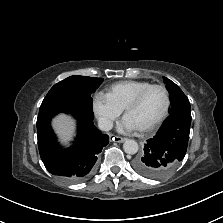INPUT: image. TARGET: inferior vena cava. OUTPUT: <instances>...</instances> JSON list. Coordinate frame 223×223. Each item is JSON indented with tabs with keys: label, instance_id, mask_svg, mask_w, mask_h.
I'll list each match as a JSON object with an SVG mask.
<instances>
[{
	"label": "inferior vena cava",
	"instance_id": "602c4592",
	"mask_svg": "<svg viewBox=\"0 0 223 223\" xmlns=\"http://www.w3.org/2000/svg\"><path fill=\"white\" fill-rule=\"evenodd\" d=\"M98 127L102 131H109L112 129L113 123L106 118H100L98 120Z\"/></svg>",
	"mask_w": 223,
	"mask_h": 223
}]
</instances>
